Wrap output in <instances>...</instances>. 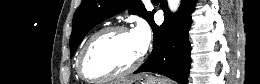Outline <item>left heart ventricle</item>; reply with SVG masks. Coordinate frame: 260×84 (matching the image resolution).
Masks as SVG:
<instances>
[{
    "label": "left heart ventricle",
    "mask_w": 260,
    "mask_h": 84,
    "mask_svg": "<svg viewBox=\"0 0 260 84\" xmlns=\"http://www.w3.org/2000/svg\"><path fill=\"white\" fill-rule=\"evenodd\" d=\"M140 54L132 33H106L92 46L86 58V72L94 77L118 73L131 66Z\"/></svg>",
    "instance_id": "b2bd125f"
}]
</instances>
